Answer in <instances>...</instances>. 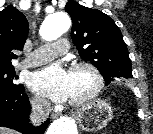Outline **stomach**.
<instances>
[{
	"label": "stomach",
	"instance_id": "0dacf381",
	"mask_svg": "<svg viewBox=\"0 0 153 134\" xmlns=\"http://www.w3.org/2000/svg\"><path fill=\"white\" fill-rule=\"evenodd\" d=\"M112 118L111 105L101 99L88 102L77 113L79 126L86 132H97L103 129Z\"/></svg>",
	"mask_w": 153,
	"mask_h": 134
}]
</instances>
